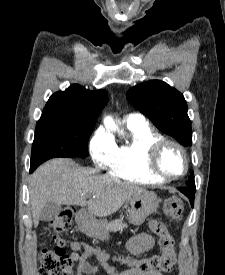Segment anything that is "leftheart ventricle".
<instances>
[{"mask_svg": "<svg viewBox=\"0 0 225 275\" xmlns=\"http://www.w3.org/2000/svg\"><path fill=\"white\" fill-rule=\"evenodd\" d=\"M162 167L169 174H179L182 172L184 162L179 151L173 147H169L162 156Z\"/></svg>", "mask_w": 225, "mask_h": 275, "instance_id": "1", "label": "left heart ventricle"}]
</instances>
